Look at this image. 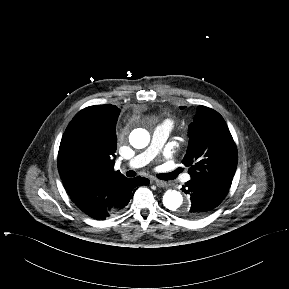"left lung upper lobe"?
Segmentation results:
<instances>
[{
	"mask_svg": "<svg viewBox=\"0 0 289 289\" xmlns=\"http://www.w3.org/2000/svg\"><path fill=\"white\" fill-rule=\"evenodd\" d=\"M188 135L189 147L182 163L190 167L188 173L191 179L230 188L238 156L236 145L222 116L213 109L200 105L189 125Z\"/></svg>",
	"mask_w": 289,
	"mask_h": 289,
	"instance_id": "left-lung-upper-lobe-1",
	"label": "left lung upper lobe"
}]
</instances>
